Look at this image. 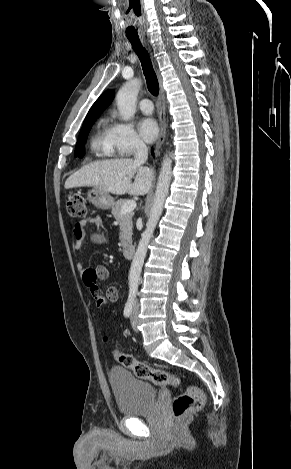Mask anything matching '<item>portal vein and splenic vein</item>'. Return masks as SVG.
I'll list each match as a JSON object with an SVG mask.
<instances>
[{
	"instance_id": "portal-vein-and-splenic-vein-1",
	"label": "portal vein and splenic vein",
	"mask_w": 291,
	"mask_h": 469,
	"mask_svg": "<svg viewBox=\"0 0 291 469\" xmlns=\"http://www.w3.org/2000/svg\"><path fill=\"white\" fill-rule=\"evenodd\" d=\"M136 208V202L134 200L127 201L122 207V213L132 212Z\"/></svg>"
}]
</instances>
